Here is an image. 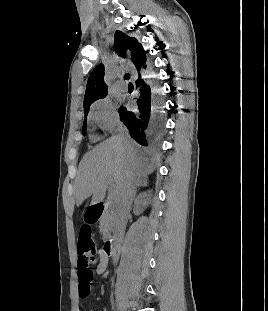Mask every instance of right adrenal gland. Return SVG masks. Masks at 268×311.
I'll return each instance as SVG.
<instances>
[{"label":"right adrenal gland","mask_w":268,"mask_h":311,"mask_svg":"<svg viewBox=\"0 0 268 311\" xmlns=\"http://www.w3.org/2000/svg\"><path fill=\"white\" fill-rule=\"evenodd\" d=\"M148 185V180L147 178H140L137 182V187H145Z\"/></svg>","instance_id":"obj_1"}]
</instances>
